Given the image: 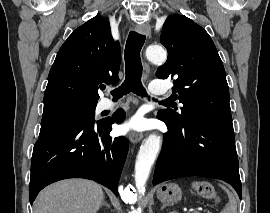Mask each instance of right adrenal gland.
<instances>
[{
    "mask_svg": "<svg viewBox=\"0 0 270 213\" xmlns=\"http://www.w3.org/2000/svg\"><path fill=\"white\" fill-rule=\"evenodd\" d=\"M101 206H107L108 208H110V205L107 202H103Z\"/></svg>",
    "mask_w": 270,
    "mask_h": 213,
    "instance_id": "obj_1",
    "label": "right adrenal gland"
}]
</instances>
